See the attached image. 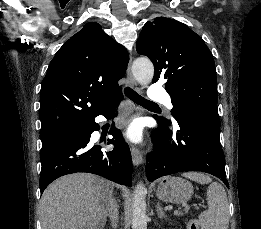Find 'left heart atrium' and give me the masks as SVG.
<instances>
[{"instance_id": "1", "label": "left heart atrium", "mask_w": 261, "mask_h": 229, "mask_svg": "<svg viewBox=\"0 0 261 229\" xmlns=\"http://www.w3.org/2000/svg\"><path fill=\"white\" fill-rule=\"evenodd\" d=\"M124 138L130 143L138 144L143 140V127L139 121H132L124 131Z\"/></svg>"}]
</instances>
